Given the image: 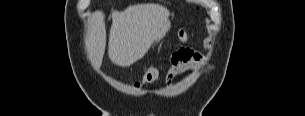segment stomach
I'll use <instances>...</instances> for the list:
<instances>
[{
  "label": "stomach",
  "mask_w": 305,
  "mask_h": 116,
  "mask_svg": "<svg viewBox=\"0 0 305 116\" xmlns=\"http://www.w3.org/2000/svg\"><path fill=\"white\" fill-rule=\"evenodd\" d=\"M169 29H170V22L166 21L162 25L161 30L155 39V42H159L165 36V34L168 32Z\"/></svg>",
  "instance_id": "1"
}]
</instances>
